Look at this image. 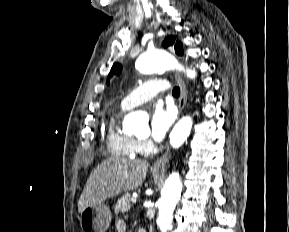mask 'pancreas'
<instances>
[{"instance_id": "obj_1", "label": "pancreas", "mask_w": 289, "mask_h": 232, "mask_svg": "<svg viewBox=\"0 0 289 232\" xmlns=\"http://www.w3.org/2000/svg\"><path fill=\"white\" fill-rule=\"evenodd\" d=\"M131 196L129 194L123 195L116 203L115 205V213H126L130 210L131 204Z\"/></svg>"}]
</instances>
